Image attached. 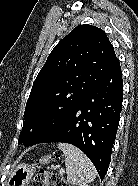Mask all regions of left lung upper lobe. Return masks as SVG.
Returning <instances> with one entry per match:
<instances>
[{
  "instance_id": "left-lung-upper-lobe-1",
  "label": "left lung upper lobe",
  "mask_w": 138,
  "mask_h": 186,
  "mask_svg": "<svg viewBox=\"0 0 138 186\" xmlns=\"http://www.w3.org/2000/svg\"><path fill=\"white\" fill-rule=\"evenodd\" d=\"M118 62L103 30L88 24L74 28L52 50L33 83L19 143L31 146L52 133Z\"/></svg>"
}]
</instances>
